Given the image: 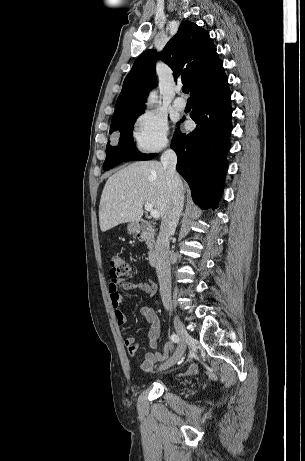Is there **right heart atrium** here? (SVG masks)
Masks as SVG:
<instances>
[{
	"label": "right heart atrium",
	"mask_w": 305,
	"mask_h": 461,
	"mask_svg": "<svg viewBox=\"0 0 305 461\" xmlns=\"http://www.w3.org/2000/svg\"><path fill=\"white\" fill-rule=\"evenodd\" d=\"M169 125L166 119L154 112L140 115L132 129L137 149L142 153H155L169 145Z\"/></svg>",
	"instance_id": "1"
}]
</instances>
